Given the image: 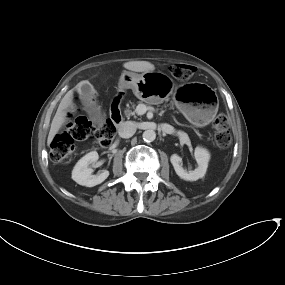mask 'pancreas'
Wrapping results in <instances>:
<instances>
[{
  "mask_svg": "<svg viewBox=\"0 0 285 285\" xmlns=\"http://www.w3.org/2000/svg\"><path fill=\"white\" fill-rule=\"evenodd\" d=\"M132 108L134 109L135 108V105L133 104L132 105ZM125 115L127 117H130V116H135L136 114V111L135 110H131L130 108H127L125 111H124Z\"/></svg>",
  "mask_w": 285,
  "mask_h": 285,
  "instance_id": "cf45deb5",
  "label": "pancreas"
}]
</instances>
